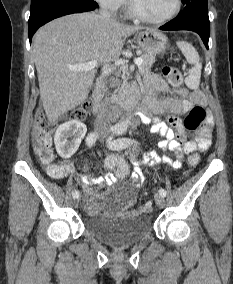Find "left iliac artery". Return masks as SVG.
<instances>
[{
    "label": "left iliac artery",
    "instance_id": "obj_1",
    "mask_svg": "<svg viewBox=\"0 0 233 284\" xmlns=\"http://www.w3.org/2000/svg\"><path fill=\"white\" fill-rule=\"evenodd\" d=\"M117 135H120L122 134V130L121 129H117V131L115 132ZM132 140L131 139H128V138H119V139H114L113 140V137L110 136L108 139H107V145L110 149H113V150H120V149H124L126 147H128L130 144H132ZM159 194L163 197L166 196V190L161 188L159 190Z\"/></svg>",
    "mask_w": 233,
    "mask_h": 284
}]
</instances>
